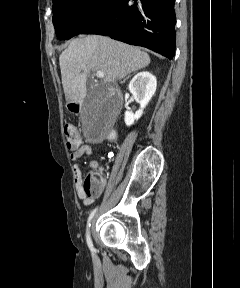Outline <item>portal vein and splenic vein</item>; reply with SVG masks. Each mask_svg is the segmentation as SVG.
<instances>
[{
  "mask_svg": "<svg viewBox=\"0 0 240 288\" xmlns=\"http://www.w3.org/2000/svg\"><path fill=\"white\" fill-rule=\"evenodd\" d=\"M96 76H97L98 78H104V73H103L102 71H100V70H97V71H96Z\"/></svg>",
  "mask_w": 240,
  "mask_h": 288,
  "instance_id": "portal-vein-and-splenic-vein-1",
  "label": "portal vein and splenic vein"
}]
</instances>
